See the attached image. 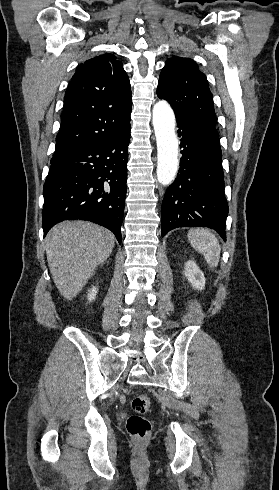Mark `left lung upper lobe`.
Segmentation results:
<instances>
[{
  "label": "left lung upper lobe",
  "instance_id": "1",
  "mask_svg": "<svg viewBox=\"0 0 279 490\" xmlns=\"http://www.w3.org/2000/svg\"><path fill=\"white\" fill-rule=\"evenodd\" d=\"M157 95L167 100L176 116L216 127L213 96L195 61L173 56L162 69Z\"/></svg>",
  "mask_w": 279,
  "mask_h": 490
}]
</instances>
